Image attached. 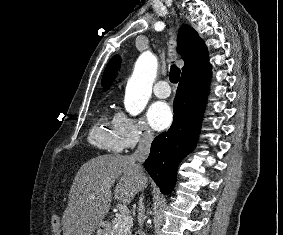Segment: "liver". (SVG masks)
I'll return each instance as SVG.
<instances>
[{"instance_id":"liver-1","label":"liver","mask_w":283,"mask_h":235,"mask_svg":"<svg viewBox=\"0 0 283 235\" xmlns=\"http://www.w3.org/2000/svg\"><path fill=\"white\" fill-rule=\"evenodd\" d=\"M118 180L114 198L129 204L148 184L130 156L105 154L87 161L77 172L63 212L64 235H92L110 209L111 187Z\"/></svg>"}]
</instances>
